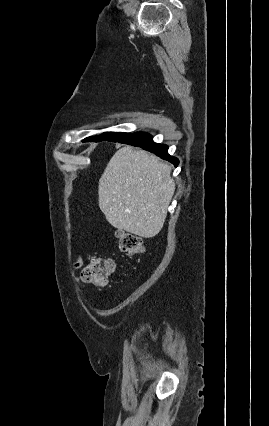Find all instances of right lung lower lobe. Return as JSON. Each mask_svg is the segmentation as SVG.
<instances>
[{"instance_id": "right-lung-lower-lobe-1", "label": "right lung lower lobe", "mask_w": 269, "mask_h": 426, "mask_svg": "<svg viewBox=\"0 0 269 426\" xmlns=\"http://www.w3.org/2000/svg\"><path fill=\"white\" fill-rule=\"evenodd\" d=\"M111 142H119V143H124L128 145L136 146V147H141L142 149L150 151L156 154L157 156H159L160 158L173 163L175 166H177L179 163L177 158L172 157L168 154L167 145L153 142L152 136L149 135L148 133H144V132L133 133L123 140H114Z\"/></svg>"}]
</instances>
